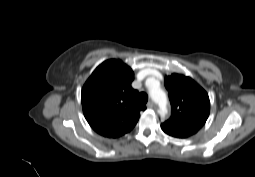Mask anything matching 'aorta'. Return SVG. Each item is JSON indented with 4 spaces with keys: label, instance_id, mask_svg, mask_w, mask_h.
Instances as JSON below:
<instances>
[{
    "label": "aorta",
    "instance_id": "1",
    "mask_svg": "<svg viewBox=\"0 0 255 177\" xmlns=\"http://www.w3.org/2000/svg\"><path fill=\"white\" fill-rule=\"evenodd\" d=\"M149 93L151 98L159 105L160 113L163 115L166 112V93L159 87V83L153 80L149 85Z\"/></svg>",
    "mask_w": 255,
    "mask_h": 177
}]
</instances>
